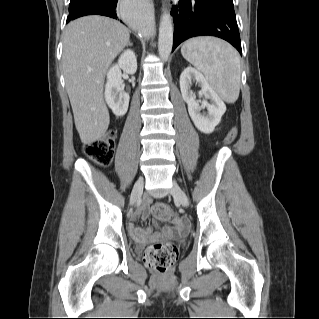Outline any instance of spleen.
<instances>
[{"instance_id":"spleen-1","label":"spleen","mask_w":319,"mask_h":319,"mask_svg":"<svg viewBox=\"0 0 319 319\" xmlns=\"http://www.w3.org/2000/svg\"><path fill=\"white\" fill-rule=\"evenodd\" d=\"M182 56L201 71L221 99L234 103L240 92V57L228 43L214 37H195L181 47Z\"/></svg>"}]
</instances>
